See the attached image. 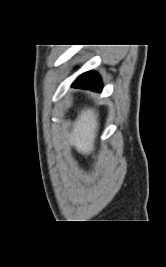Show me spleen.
I'll list each match as a JSON object with an SVG mask.
<instances>
[{
  "label": "spleen",
  "instance_id": "spleen-1",
  "mask_svg": "<svg viewBox=\"0 0 166 267\" xmlns=\"http://www.w3.org/2000/svg\"><path fill=\"white\" fill-rule=\"evenodd\" d=\"M98 129L95 110H83L74 126L72 140L79 152L88 153L93 149Z\"/></svg>",
  "mask_w": 166,
  "mask_h": 267
}]
</instances>
